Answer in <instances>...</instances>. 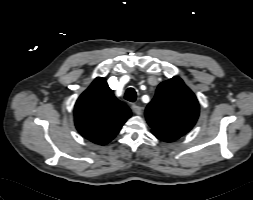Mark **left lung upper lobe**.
<instances>
[{
	"label": "left lung upper lobe",
	"instance_id": "obj_1",
	"mask_svg": "<svg viewBox=\"0 0 253 200\" xmlns=\"http://www.w3.org/2000/svg\"><path fill=\"white\" fill-rule=\"evenodd\" d=\"M198 115L196 96L177 76L158 86L155 97L145 110L153 134L178 138L195 125Z\"/></svg>",
	"mask_w": 253,
	"mask_h": 200
}]
</instances>
